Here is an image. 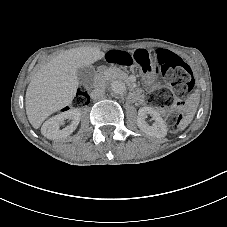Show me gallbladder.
<instances>
[{"label":"gallbladder","instance_id":"gallbladder-1","mask_svg":"<svg viewBox=\"0 0 227 227\" xmlns=\"http://www.w3.org/2000/svg\"><path fill=\"white\" fill-rule=\"evenodd\" d=\"M76 74L78 76L80 84L85 86H91L94 80L95 66L90 64L79 67L76 71Z\"/></svg>","mask_w":227,"mask_h":227}]
</instances>
